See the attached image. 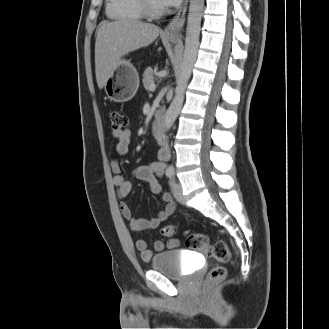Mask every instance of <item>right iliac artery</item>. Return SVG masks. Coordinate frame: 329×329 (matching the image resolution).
Returning a JSON list of instances; mask_svg holds the SVG:
<instances>
[{
  "label": "right iliac artery",
  "instance_id": "obj_1",
  "mask_svg": "<svg viewBox=\"0 0 329 329\" xmlns=\"http://www.w3.org/2000/svg\"><path fill=\"white\" fill-rule=\"evenodd\" d=\"M166 176L169 177V178H171V177L173 176V172L168 171V172L166 173Z\"/></svg>",
  "mask_w": 329,
  "mask_h": 329
}]
</instances>
